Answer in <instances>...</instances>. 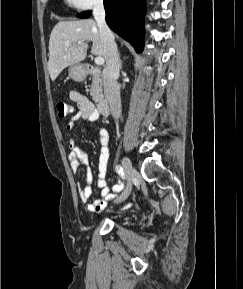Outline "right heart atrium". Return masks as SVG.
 I'll use <instances>...</instances> for the list:
<instances>
[{
  "label": "right heart atrium",
  "mask_w": 243,
  "mask_h": 289,
  "mask_svg": "<svg viewBox=\"0 0 243 289\" xmlns=\"http://www.w3.org/2000/svg\"><path fill=\"white\" fill-rule=\"evenodd\" d=\"M68 5L77 10H89L93 7L100 6L104 0H65Z\"/></svg>",
  "instance_id": "1"
}]
</instances>
